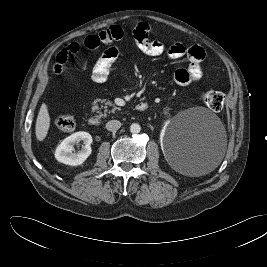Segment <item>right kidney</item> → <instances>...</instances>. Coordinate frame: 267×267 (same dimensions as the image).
<instances>
[{"instance_id":"obj_1","label":"right kidney","mask_w":267,"mask_h":267,"mask_svg":"<svg viewBox=\"0 0 267 267\" xmlns=\"http://www.w3.org/2000/svg\"><path fill=\"white\" fill-rule=\"evenodd\" d=\"M83 141L84 147L78 153H72L74 144ZM92 136L88 132L79 131L65 138L55 150L57 161L71 166L81 165L90 156Z\"/></svg>"}]
</instances>
